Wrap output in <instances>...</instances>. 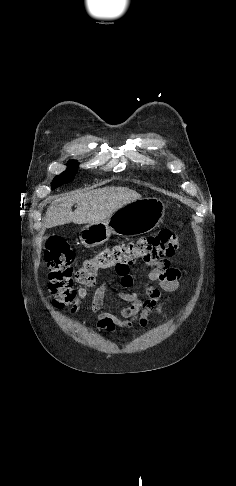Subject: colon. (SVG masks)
<instances>
[{
  "mask_svg": "<svg viewBox=\"0 0 236 486\" xmlns=\"http://www.w3.org/2000/svg\"><path fill=\"white\" fill-rule=\"evenodd\" d=\"M179 246L178 235L171 230L143 237L134 242H125L107 247L86 259L75 273L79 287L73 286L74 253L60 237L50 239L44 253L49 268L48 288L53 303L58 308L78 309L87 289L94 286L100 270L123 269L137 260L147 263L172 256Z\"/></svg>",
  "mask_w": 236,
  "mask_h": 486,
  "instance_id": "colon-1",
  "label": "colon"
}]
</instances>
